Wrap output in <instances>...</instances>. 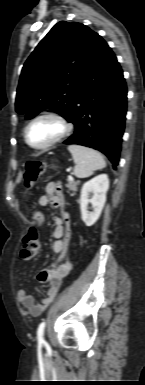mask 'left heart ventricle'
I'll return each instance as SVG.
<instances>
[{
    "mask_svg": "<svg viewBox=\"0 0 145 385\" xmlns=\"http://www.w3.org/2000/svg\"><path fill=\"white\" fill-rule=\"evenodd\" d=\"M62 130L61 125L53 119H41L28 131V140L32 145L42 146L56 138Z\"/></svg>",
    "mask_w": 145,
    "mask_h": 385,
    "instance_id": "1",
    "label": "left heart ventricle"
}]
</instances>
